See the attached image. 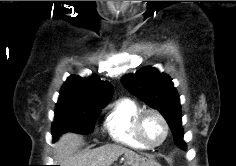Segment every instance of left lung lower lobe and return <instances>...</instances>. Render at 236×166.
Returning <instances> with one entry per match:
<instances>
[{
	"mask_svg": "<svg viewBox=\"0 0 236 166\" xmlns=\"http://www.w3.org/2000/svg\"><path fill=\"white\" fill-rule=\"evenodd\" d=\"M170 128L173 133L175 144L182 149H186L185 142L183 141V129L181 122L171 124Z\"/></svg>",
	"mask_w": 236,
	"mask_h": 166,
	"instance_id": "left-lung-lower-lobe-1",
	"label": "left lung lower lobe"
}]
</instances>
